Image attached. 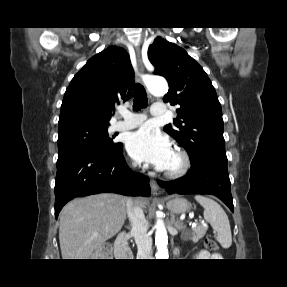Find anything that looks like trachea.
I'll return each instance as SVG.
<instances>
[{
	"label": "trachea",
	"mask_w": 287,
	"mask_h": 287,
	"mask_svg": "<svg viewBox=\"0 0 287 287\" xmlns=\"http://www.w3.org/2000/svg\"><path fill=\"white\" fill-rule=\"evenodd\" d=\"M134 110H140L147 107L148 99L145 88L141 84H136L134 87Z\"/></svg>",
	"instance_id": "obj_1"
}]
</instances>
